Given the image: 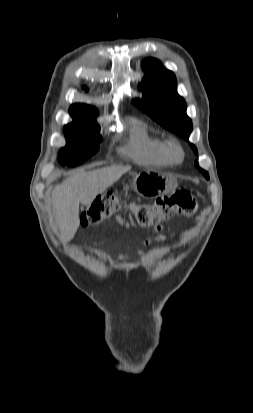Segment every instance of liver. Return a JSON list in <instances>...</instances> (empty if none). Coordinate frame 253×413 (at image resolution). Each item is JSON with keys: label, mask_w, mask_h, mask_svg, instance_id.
I'll list each match as a JSON object with an SVG mask.
<instances>
[{"label": "liver", "mask_w": 253, "mask_h": 413, "mask_svg": "<svg viewBox=\"0 0 253 413\" xmlns=\"http://www.w3.org/2000/svg\"><path fill=\"white\" fill-rule=\"evenodd\" d=\"M130 169V166H109L93 171L80 170L53 190L52 208L62 241H70L79 227V204L91 205Z\"/></svg>", "instance_id": "obj_1"}]
</instances>
